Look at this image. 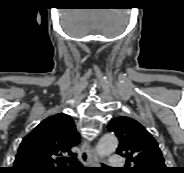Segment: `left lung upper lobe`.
I'll return each mask as SVG.
<instances>
[{
	"mask_svg": "<svg viewBox=\"0 0 184 173\" xmlns=\"http://www.w3.org/2000/svg\"><path fill=\"white\" fill-rule=\"evenodd\" d=\"M107 128L119 139L117 153L127 159L124 173L168 172L158 143L136 120L117 117Z\"/></svg>",
	"mask_w": 184,
	"mask_h": 173,
	"instance_id": "1",
	"label": "left lung upper lobe"
}]
</instances>
